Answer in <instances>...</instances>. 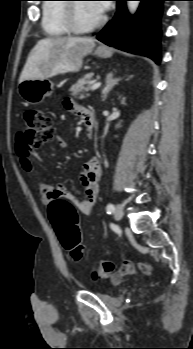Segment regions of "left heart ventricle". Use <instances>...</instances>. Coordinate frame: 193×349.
<instances>
[{
	"label": "left heart ventricle",
	"mask_w": 193,
	"mask_h": 349,
	"mask_svg": "<svg viewBox=\"0 0 193 349\" xmlns=\"http://www.w3.org/2000/svg\"><path fill=\"white\" fill-rule=\"evenodd\" d=\"M101 15L98 14L90 3L81 2L77 5V19L80 25L86 26L93 23Z\"/></svg>",
	"instance_id": "b2bd125f"
}]
</instances>
